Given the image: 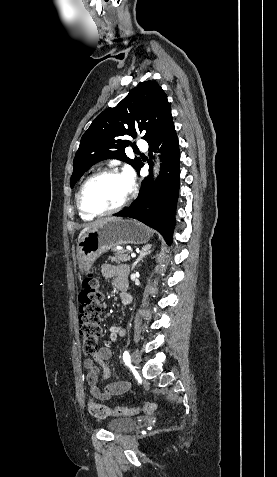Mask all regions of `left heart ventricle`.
<instances>
[{
	"label": "left heart ventricle",
	"instance_id": "obj_1",
	"mask_svg": "<svg viewBox=\"0 0 277 477\" xmlns=\"http://www.w3.org/2000/svg\"><path fill=\"white\" fill-rule=\"evenodd\" d=\"M128 191L123 175H102L88 184L83 194V203L92 211L107 210L121 203Z\"/></svg>",
	"mask_w": 277,
	"mask_h": 477
}]
</instances>
